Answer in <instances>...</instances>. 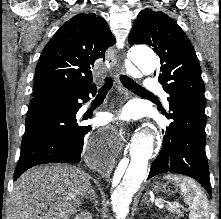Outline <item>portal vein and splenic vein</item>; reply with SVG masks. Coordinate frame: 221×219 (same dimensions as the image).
<instances>
[{
    "instance_id": "18ae733b",
    "label": "portal vein and splenic vein",
    "mask_w": 221,
    "mask_h": 219,
    "mask_svg": "<svg viewBox=\"0 0 221 219\" xmlns=\"http://www.w3.org/2000/svg\"><path fill=\"white\" fill-rule=\"evenodd\" d=\"M163 203H165V202H163ZM162 206H164L163 204H162ZM170 206L171 207H181V205L179 204V203H177V202H173L172 204H170Z\"/></svg>"
}]
</instances>
